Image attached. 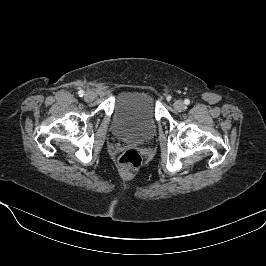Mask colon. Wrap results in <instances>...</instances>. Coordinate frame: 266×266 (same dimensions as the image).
Instances as JSON below:
<instances>
[{"mask_svg":"<svg viewBox=\"0 0 266 266\" xmlns=\"http://www.w3.org/2000/svg\"><path fill=\"white\" fill-rule=\"evenodd\" d=\"M142 159L135 149H127L119 158V165L127 170H135L141 165Z\"/></svg>","mask_w":266,"mask_h":266,"instance_id":"obj_1","label":"colon"}]
</instances>
